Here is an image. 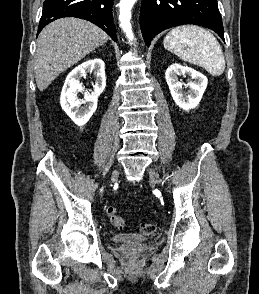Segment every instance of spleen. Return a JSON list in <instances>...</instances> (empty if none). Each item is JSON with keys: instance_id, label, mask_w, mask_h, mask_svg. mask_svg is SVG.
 <instances>
[{"instance_id": "spleen-1", "label": "spleen", "mask_w": 259, "mask_h": 294, "mask_svg": "<svg viewBox=\"0 0 259 294\" xmlns=\"http://www.w3.org/2000/svg\"><path fill=\"white\" fill-rule=\"evenodd\" d=\"M164 47L183 61L203 67L213 76L225 70V58L217 39L207 30L193 25L172 29Z\"/></svg>"}]
</instances>
